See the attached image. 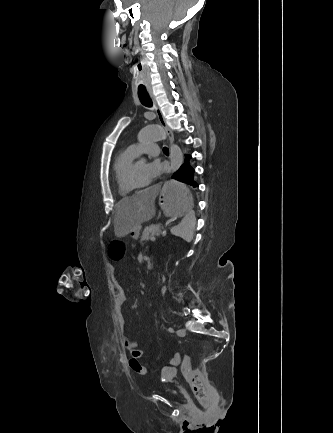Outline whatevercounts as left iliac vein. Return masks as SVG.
<instances>
[{"mask_svg": "<svg viewBox=\"0 0 333 433\" xmlns=\"http://www.w3.org/2000/svg\"><path fill=\"white\" fill-rule=\"evenodd\" d=\"M185 334H186V330L185 329H178L177 330V335L178 336L183 337V336H185Z\"/></svg>", "mask_w": 333, "mask_h": 433, "instance_id": "4c4485c4", "label": "left iliac vein"}]
</instances>
